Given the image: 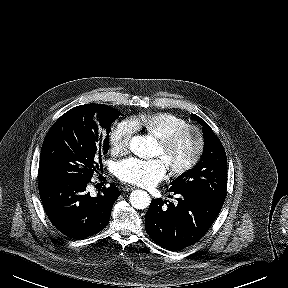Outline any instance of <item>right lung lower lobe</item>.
<instances>
[{
	"mask_svg": "<svg viewBox=\"0 0 288 288\" xmlns=\"http://www.w3.org/2000/svg\"><path fill=\"white\" fill-rule=\"evenodd\" d=\"M88 182L40 181L39 193L51 223L64 235L83 239L103 230L120 192L114 184L102 188L96 197L87 191Z\"/></svg>",
	"mask_w": 288,
	"mask_h": 288,
	"instance_id": "right-lung-lower-lobe-1",
	"label": "right lung lower lobe"
}]
</instances>
